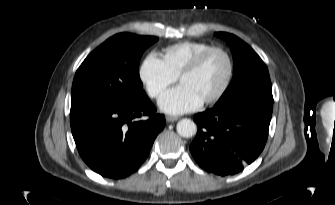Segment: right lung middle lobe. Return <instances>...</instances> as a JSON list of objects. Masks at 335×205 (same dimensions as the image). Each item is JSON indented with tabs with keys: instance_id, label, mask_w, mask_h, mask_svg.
Masks as SVG:
<instances>
[{
	"instance_id": "dd1d6c3e",
	"label": "right lung middle lobe",
	"mask_w": 335,
	"mask_h": 205,
	"mask_svg": "<svg viewBox=\"0 0 335 205\" xmlns=\"http://www.w3.org/2000/svg\"><path fill=\"white\" fill-rule=\"evenodd\" d=\"M157 40V37L130 33H119L106 40L78 68L71 106L88 102H132L144 96L139 61L146 48Z\"/></svg>"
}]
</instances>
